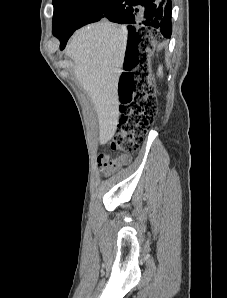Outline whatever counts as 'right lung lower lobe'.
Returning a JSON list of instances; mask_svg holds the SVG:
<instances>
[{"label": "right lung lower lobe", "instance_id": "98d812e1", "mask_svg": "<svg viewBox=\"0 0 227 298\" xmlns=\"http://www.w3.org/2000/svg\"><path fill=\"white\" fill-rule=\"evenodd\" d=\"M171 11L170 0H103L76 29L106 18L119 24L157 28L164 37L169 38L172 33ZM75 30L56 35L61 42L60 49L66 46ZM134 34V28L129 26V39Z\"/></svg>", "mask_w": 227, "mask_h": 298}]
</instances>
